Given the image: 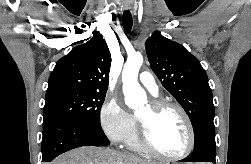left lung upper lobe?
Here are the masks:
<instances>
[{
    "instance_id": "1",
    "label": "left lung upper lobe",
    "mask_w": 251,
    "mask_h": 164,
    "mask_svg": "<svg viewBox=\"0 0 251 164\" xmlns=\"http://www.w3.org/2000/svg\"><path fill=\"white\" fill-rule=\"evenodd\" d=\"M145 48L152 70L189 116L195 140L215 136L212 91L199 60L159 32L147 39Z\"/></svg>"
}]
</instances>
